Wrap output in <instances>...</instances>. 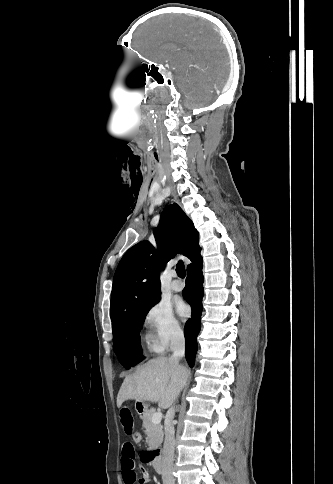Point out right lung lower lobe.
<instances>
[{
	"label": "right lung lower lobe",
	"instance_id": "right-lung-lower-lobe-1",
	"mask_svg": "<svg viewBox=\"0 0 333 484\" xmlns=\"http://www.w3.org/2000/svg\"><path fill=\"white\" fill-rule=\"evenodd\" d=\"M188 277L184 289V298L192 308V318L189 319L184 328L185 334V355L188 364L193 367L197 352L196 338L201 328L200 318L202 313L203 297V275L202 260L187 269Z\"/></svg>",
	"mask_w": 333,
	"mask_h": 484
}]
</instances>
